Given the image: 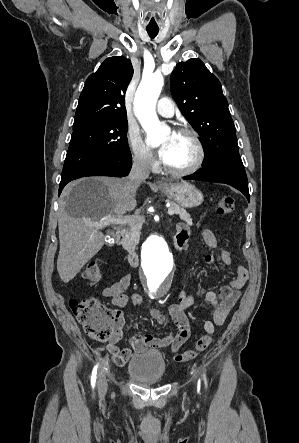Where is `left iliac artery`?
Returning <instances> with one entry per match:
<instances>
[{"mask_svg": "<svg viewBox=\"0 0 299 443\" xmlns=\"http://www.w3.org/2000/svg\"><path fill=\"white\" fill-rule=\"evenodd\" d=\"M203 376H204V380H205V384H206V377H205V374H203Z\"/></svg>", "mask_w": 299, "mask_h": 443, "instance_id": "obj_1", "label": "left iliac artery"}]
</instances>
